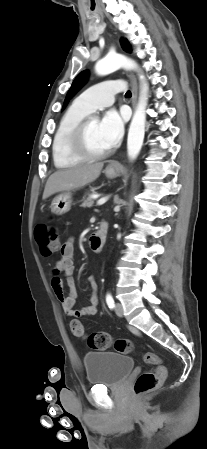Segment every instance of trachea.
<instances>
[{
	"instance_id": "1",
	"label": "trachea",
	"mask_w": 207,
	"mask_h": 449,
	"mask_svg": "<svg viewBox=\"0 0 207 449\" xmlns=\"http://www.w3.org/2000/svg\"><path fill=\"white\" fill-rule=\"evenodd\" d=\"M125 97H126V98H130V97H131V92H130V91H127L126 94H125Z\"/></svg>"
}]
</instances>
